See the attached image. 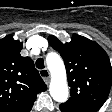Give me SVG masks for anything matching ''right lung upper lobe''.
I'll return each mask as SVG.
<instances>
[{"label":"right lung upper lobe","mask_w":112,"mask_h":112,"mask_svg":"<svg viewBox=\"0 0 112 112\" xmlns=\"http://www.w3.org/2000/svg\"><path fill=\"white\" fill-rule=\"evenodd\" d=\"M23 43L7 35L0 40V112H30L38 93L47 90Z\"/></svg>","instance_id":"1"}]
</instances>
